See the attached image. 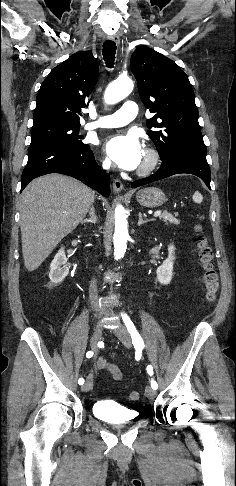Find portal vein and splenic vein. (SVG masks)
Wrapping results in <instances>:
<instances>
[{
    "label": "portal vein and splenic vein",
    "mask_w": 236,
    "mask_h": 486,
    "mask_svg": "<svg viewBox=\"0 0 236 486\" xmlns=\"http://www.w3.org/2000/svg\"><path fill=\"white\" fill-rule=\"evenodd\" d=\"M161 213H162V212H161L160 210L156 211V212L154 213V217H158V216H160V215H161Z\"/></svg>",
    "instance_id": "18ae733b"
}]
</instances>
